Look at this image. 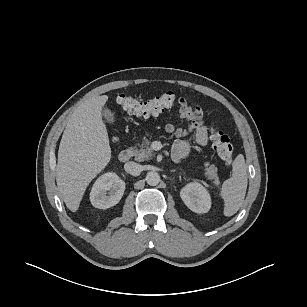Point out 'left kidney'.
Listing matches in <instances>:
<instances>
[{"instance_id":"5707ae66","label":"left kidney","mask_w":307,"mask_h":307,"mask_svg":"<svg viewBox=\"0 0 307 307\" xmlns=\"http://www.w3.org/2000/svg\"><path fill=\"white\" fill-rule=\"evenodd\" d=\"M185 205L195 213H207L211 208V197L206 188L198 182L187 184L180 192Z\"/></svg>"}]
</instances>
